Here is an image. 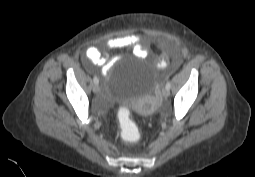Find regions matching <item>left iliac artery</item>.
Returning <instances> with one entry per match:
<instances>
[{
    "mask_svg": "<svg viewBox=\"0 0 255 177\" xmlns=\"http://www.w3.org/2000/svg\"><path fill=\"white\" fill-rule=\"evenodd\" d=\"M166 88L170 90V88H171V82L170 81H167Z\"/></svg>",
    "mask_w": 255,
    "mask_h": 177,
    "instance_id": "44dca946",
    "label": "left iliac artery"
}]
</instances>
